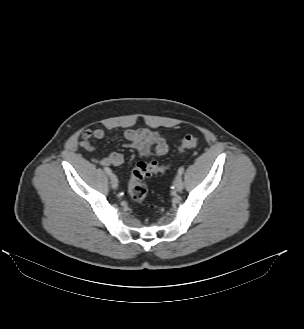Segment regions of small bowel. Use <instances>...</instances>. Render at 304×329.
Wrapping results in <instances>:
<instances>
[{
  "instance_id": "obj_1",
  "label": "small bowel",
  "mask_w": 304,
  "mask_h": 329,
  "mask_svg": "<svg viewBox=\"0 0 304 329\" xmlns=\"http://www.w3.org/2000/svg\"><path fill=\"white\" fill-rule=\"evenodd\" d=\"M107 135V131L98 128L95 130L86 129L82 134L80 146L86 151L94 150V140L103 139ZM123 138L126 141V146L135 149L141 157L150 155L164 156L167 154L169 146L163 135L158 132L140 128V129H125L122 131ZM94 161L100 165L120 166L124 159L118 152L96 158Z\"/></svg>"
}]
</instances>
